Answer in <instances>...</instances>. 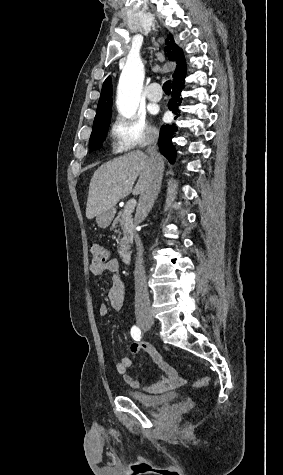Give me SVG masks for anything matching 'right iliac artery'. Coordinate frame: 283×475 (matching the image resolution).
<instances>
[{
  "label": "right iliac artery",
  "instance_id": "82829eb1",
  "mask_svg": "<svg viewBox=\"0 0 283 475\" xmlns=\"http://www.w3.org/2000/svg\"><path fill=\"white\" fill-rule=\"evenodd\" d=\"M131 336L134 340L139 341L141 338V330L140 328L133 326L131 328Z\"/></svg>",
  "mask_w": 283,
  "mask_h": 475
}]
</instances>
